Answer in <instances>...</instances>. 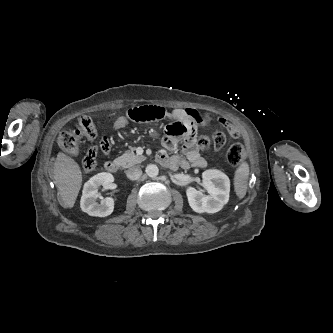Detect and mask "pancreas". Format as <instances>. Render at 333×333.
I'll return each instance as SVG.
<instances>
[{
  "instance_id": "1",
  "label": "pancreas",
  "mask_w": 333,
  "mask_h": 333,
  "mask_svg": "<svg viewBox=\"0 0 333 333\" xmlns=\"http://www.w3.org/2000/svg\"><path fill=\"white\" fill-rule=\"evenodd\" d=\"M120 163L124 168L132 167L145 160L144 156H138L133 151H127L119 157Z\"/></svg>"
}]
</instances>
